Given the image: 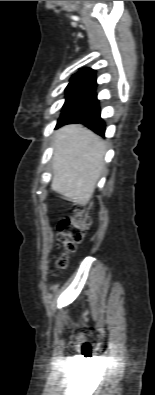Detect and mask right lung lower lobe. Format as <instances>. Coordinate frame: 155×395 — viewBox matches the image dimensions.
<instances>
[{
    "instance_id": "right-lung-lower-lobe-1",
    "label": "right lung lower lobe",
    "mask_w": 155,
    "mask_h": 395,
    "mask_svg": "<svg viewBox=\"0 0 155 395\" xmlns=\"http://www.w3.org/2000/svg\"><path fill=\"white\" fill-rule=\"evenodd\" d=\"M70 123L84 124L97 134L104 136L105 123L100 118V108L98 106V100H96L94 103H92L90 106H88L75 116L58 122L57 126Z\"/></svg>"
}]
</instances>
